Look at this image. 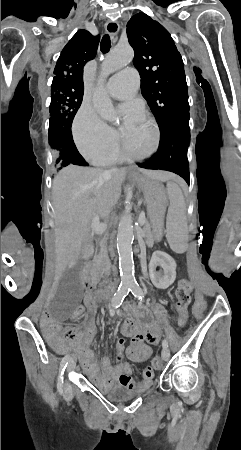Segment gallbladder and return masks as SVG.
<instances>
[{"label": "gallbladder", "instance_id": "1", "mask_svg": "<svg viewBox=\"0 0 241 450\" xmlns=\"http://www.w3.org/2000/svg\"><path fill=\"white\" fill-rule=\"evenodd\" d=\"M86 260H78L74 268L68 270L59 283V289L53 301H49L48 308L52 310L53 319L56 323H66L69 315H74V310H78L82 298L83 288L82 270L86 266Z\"/></svg>", "mask_w": 241, "mask_h": 450}]
</instances>
